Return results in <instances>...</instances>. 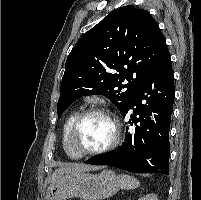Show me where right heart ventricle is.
I'll use <instances>...</instances> for the list:
<instances>
[{
	"label": "right heart ventricle",
	"mask_w": 201,
	"mask_h": 200,
	"mask_svg": "<svg viewBox=\"0 0 201 200\" xmlns=\"http://www.w3.org/2000/svg\"><path fill=\"white\" fill-rule=\"evenodd\" d=\"M78 112H73L71 113L68 118L66 119L64 125H63V129H62V136H61V143H62V148L63 151L65 152V154L69 157L74 159L71 151L68 148V144H67V135H68V131L73 123V121L75 120V118L78 116Z\"/></svg>",
	"instance_id": "right-heart-ventricle-1"
}]
</instances>
